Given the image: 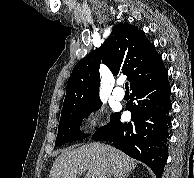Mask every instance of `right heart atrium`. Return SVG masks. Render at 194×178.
Listing matches in <instances>:
<instances>
[{
  "label": "right heart atrium",
  "instance_id": "d8ad5b80",
  "mask_svg": "<svg viewBox=\"0 0 194 178\" xmlns=\"http://www.w3.org/2000/svg\"><path fill=\"white\" fill-rule=\"evenodd\" d=\"M101 123V116L96 111H91L83 119V128L87 131H93L99 128Z\"/></svg>",
  "mask_w": 194,
  "mask_h": 178
}]
</instances>
